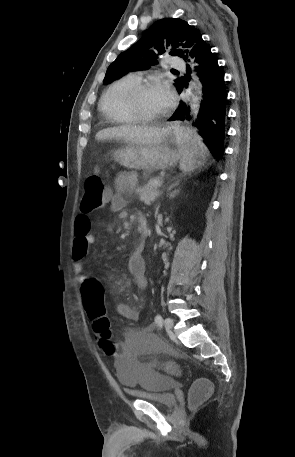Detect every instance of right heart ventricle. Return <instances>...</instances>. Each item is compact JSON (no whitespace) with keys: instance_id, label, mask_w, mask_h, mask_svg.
Here are the masks:
<instances>
[{"instance_id":"e07e8e85","label":"right heart ventricle","mask_w":295,"mask_h":457,"mask_svg":"<svg viewBox=\"0 0 295 457\" xmlns=\"http://www.w3.org/2000/svg\"><path fill=\"white\" fill-rule=\"evenodd\" d=\"M138 81V78L133 75L125 76L111 83L104 91L99 108L110 122L117 124H135L138 122L128 111L124 102L126 91Z\"/></svg>"}]
</instances>
